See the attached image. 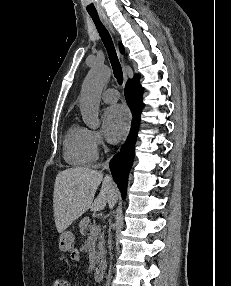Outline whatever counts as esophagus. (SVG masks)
Here are the masks:
<instances>
[{
  "label": "esophagus",
  "mask_w": 231,
  "mask_h": 286,
  "mask_svg": "<svg viewBox=\"0 0 231 286\" xmlns=\"http://www.w3.org/2000/svg\"><path fill=\"white\" fill-rule=\"evenodd\" d=\"M101 19H102L103 23L105 24V26L111 31V33L115 34L114 28H113L111 22L109 21V19L105 15H101ZM120 58H121L123 66H125V61H124V58L121 54H120ZM131 123H132V115H131V112H129L128 132L130 130Z\"/></svg>",
  "instance_id": "1"
}]
</instances>
